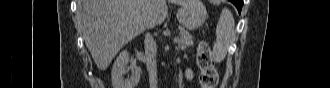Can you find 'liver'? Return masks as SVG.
I'll return each mask as SVG.
<instances>
[{"label": "liver", "instance_id": "6515ba94", "mask_svg": "<svg viewBox=\"0 0 330 88\" xmlns=\"http://www.w3.org/2000/svg\"><path fill=\"white\" fill-rule=\"evenodd\" d=\"M185 6L190 0H168ZM77 15L91 56L105 70L119 50L145 29L164 22L166 0H79Z\"/></svg>", "mask_w": 330, "mask_h": 88}]
</instances>
